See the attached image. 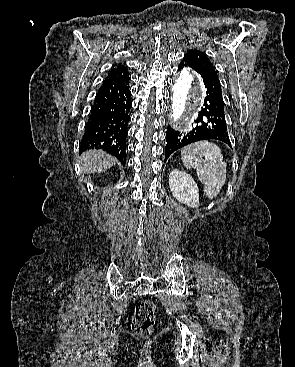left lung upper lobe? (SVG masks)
<instances>
[{
  "label": "left lung upper lobe",
  "mask_w": 295,
  "mask_h": 367,
  "mask_svg": "<svg viewBox=\"0 0 295 367\" xmlns=\"http://www.w3.org/2000/svg\"><path fill=\"white\" fill-rule=\"evenodd\" d=\"M183 59L190 60L196 66H200L215 71V67L213 66L209 58L206 56V54L199 50H192V49L188 50Z\"/></svg>",
  "instance_id": "left-lung-upper-lobe-1"
}]
</instances>
